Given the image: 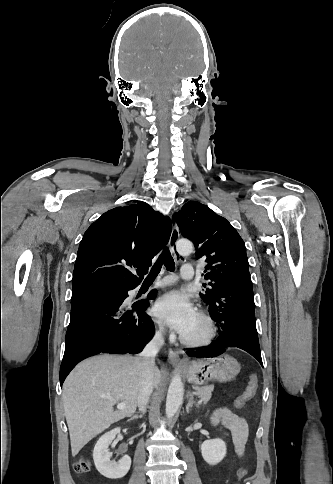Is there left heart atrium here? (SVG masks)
<instances>
[{"label":"left heart atrium","mask_w":333,"mask_h":484,"mask_svg":"<svg viewBox=\"0 0 333 484\" xmlns=\"http://www.w3.org/2000/svg\"><path fill=\"white\" fill-rule=\"evenodd\" d=\"M152 315L183 334L196 318L197 311L187 294L175 290L157 299L152 308Z\"/></svg>","instance_id":"39dd6f15"}]
</instances>
